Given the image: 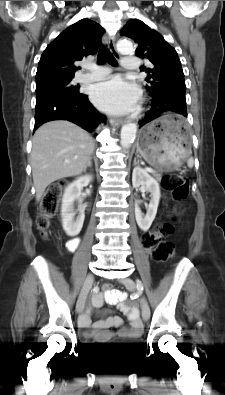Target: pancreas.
<instances>
[{
    "instance_id": "pancreas-1",
    "label": "pancreas",
    "mask_w": 225,
    "mask_h": 395,
    "mask_svg": "<svg viewBox=\"0 0 225 395\" xmlns=\"http://www.w3.org/2000/svg\"><path fill=\"white\" fill-rule=\"evenodd\" d=\"M154 176H155L157 179H161V175H160V174H154Z\"/></svg>"
}]
</instances>
